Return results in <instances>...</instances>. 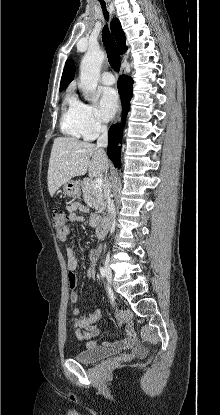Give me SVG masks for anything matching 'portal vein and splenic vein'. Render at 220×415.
<instances>
[{
  "label": "portal vein and splenic vein",
  "mask_w": 220,
  "mask_h": 415,
  "mask_svg": "<svg viewBox=\"0 0 220 415\" xmlns=\"http://www.w3.org/2000/svg\"><path fill=\"white\" fill-rule=\"evenodd\" d=\"M102 186H103V180H102V178H99V177L96 178L95 181H94V188L96 190H99Z\"/></svg>",
  "instance_id": "1"
}]
</instances>
